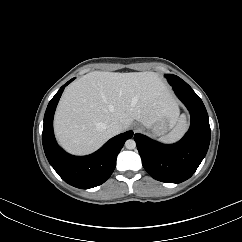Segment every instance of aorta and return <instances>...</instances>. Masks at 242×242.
Wrapping results in <instances>:
<instances>
[{"instance_id":"762f6f07","label":"aorta","mask_w":242,"mask_h":242,"mask_svg":"<svg viewBox=\"0 0 242 242\" xmlns=\"http://www.w3.org/2000/svg\"><path fill=\"white\" fill-rule=\"evenodd\" d=\"M125 147L127 149H134L136 147V142L134 141V139H128L126 142H125Z\"/></svg>"}]
</instances>
